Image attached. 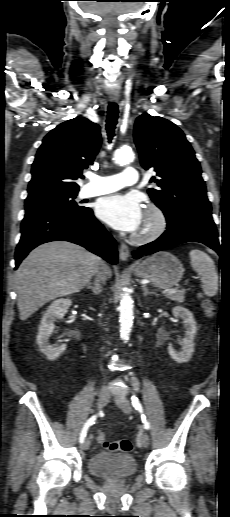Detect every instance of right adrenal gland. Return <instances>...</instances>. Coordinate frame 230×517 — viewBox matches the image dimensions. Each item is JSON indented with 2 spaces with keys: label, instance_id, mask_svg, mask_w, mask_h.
Listing matches in <instances>:
<instances>
[{
  "label": "right adrenal gland",
  "instance_id": "2a0ac1e0",
  "mask_svg": "<svg viewBox=\"0 0 230 517\" xmlns=\"http://www.w3.org/2000/svg\"><path fill=\"white\" fill-rule=\"evenodd\" d=\"M87 288L91 289L95 295H99L102 292V287L97 281H95L93 285L89 283Z\"/></svg>",
  "mask_w": 230,
  "mask_h": 517
}]
</instances>
